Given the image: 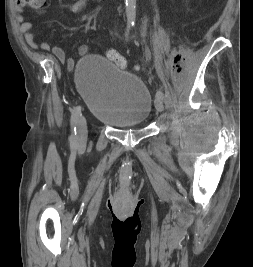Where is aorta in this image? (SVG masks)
I'll list each match as a JSON object with an SVG mask.
<instances>
[{
    "label": "aorta",
    "mask_w": 253,
    "mask_h": 267,
    "mask_svg": "<svg viewBox=\"0 0 253 267\" xmlns=\"http://www.w3.org/2000/svg\"><path fill=\"white\" fill-rule=\"evenodd\" d=\"M126 18L128 26H132L136 20V0H126Z\"/></svg>",
    "instance_id": "1"
}]
</instances>
